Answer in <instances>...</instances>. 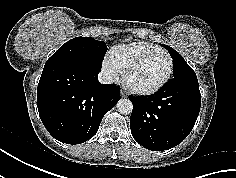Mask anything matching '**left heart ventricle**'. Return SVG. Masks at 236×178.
Returning a JSON list of instances; mask_svg holds the SVG:
<instances>
[{
  "label": "left heart ventricle",
  "mask_w": 236,
  "mask_h": 178,
  "mask_svg": "<svg viewBox=\"0 0 236 178\" xmlns=\"http://www.w3.org/2000/svg\"><path fill=\"white\" fill-rule=\"evenodd\" d=\"M169 66L170 61L166 55L154 56L133 71L129 80L137 87L155 86L166 76Z\"/></svg>",
  "instance_id": "b2bd125f"
}]
</instances>
